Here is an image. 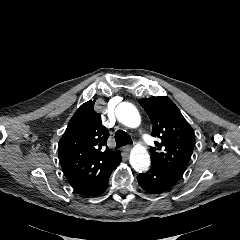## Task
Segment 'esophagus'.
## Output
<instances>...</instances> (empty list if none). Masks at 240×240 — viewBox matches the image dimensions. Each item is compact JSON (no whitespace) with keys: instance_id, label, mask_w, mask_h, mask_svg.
<instances>
[{"instance_id":"34e87169","label":"esophagus","mask_w":240,"mask_h":240,"mask_svg":"<svg viewBox=\"0 0 240 240\" xmlns=\"http://www.w3.org/2000/svg\"><path fill=\"white\" fill-rule=\"evenodd\" d=\"M131 148H132L131 145H126V146L123 147V151L126 152V153H129Z\"/></svg>"}]
</instances>
